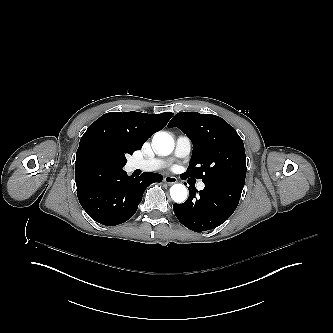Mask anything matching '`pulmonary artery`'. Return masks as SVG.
Masks as SVG:
<instances>
[{
  "mask_svg": "<svg viewBox=\"0 0 333 333\" xmlns=\"http://www.w3.org/2000/svg\"><path fill=\"white\" fill-rule=\"evenodd\" d=\"M192 151V143L188 136L180 135L176 139L175 149L171 156L162 158H152L144 161H136L134 164V168H141L145 171H156L167 167L173 161L178 158H186L190 155ZM204 187V183L199 181L197 184L198 190H202Z\"/></svg>",
  "mask_w": 333,
  "mask_h": 333,
  "instance_id": "pulmonary-artery-1",
  "label": "pulmonary artery"
}]
</instances>
